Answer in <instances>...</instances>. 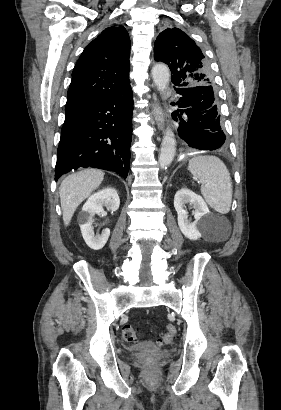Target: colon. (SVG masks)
<instances>
[{
	"label": "colon",
	"mask_w": 281,
	"mask_h": 410,
	"mask_svg": "<svg viewBox=\"0 0 281 410\" xmlns=\"http://www.w3.org/2000/svg\"><path fill=\"white\" fill-rule=\"evenodd\" d=\"M176 333V328L175 326L169 324L165 328V332L162 334L161 338L159 339V342L168 344L170 343ZM122 336L125 341L127 342H136L138 339V331L137 329L132 326V325H125L122 329Z\"/></svg>",
	"instance_id": "obj_1"
}]
</instances>
